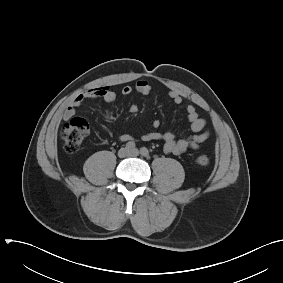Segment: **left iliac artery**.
Wrapping results in <instances>:
<instances>
[{"instance_id":"44dca946","label":"left iliac artery","mask_w":283,"mask_h":283,"mask_svg":"<svg viewBox=\"0 0 283 283\" xmlns=\"http://www.w3.org/2000/svg\"><path fill=\"white\" fill-rule=\"evenodd\" d=\"M140 153L144 156V157H150V153H149V151H148V149L146 148V147H142L141 149H140Z\"/></svg>"}]
</instances>
